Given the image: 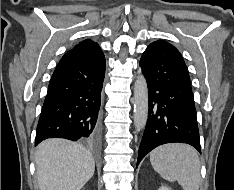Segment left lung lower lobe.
Masks as SVG:
<instances>
[{
	"label": "left lung lower lobe",
	"mask_w": 234,
	"mask_h": 190,
	"mask_svg": "<svg viewBox=\"0 0 234 190\" xmlns=\"http://www.w3.org/2000/svg\"><path fill=\"white\" fill-rule=\"evenodd\" d=\"M183 58L170 43L148 45L140 66L148 85L149 111L137 165L155 147L187 143L201 153L193 92L183 78Z\"/></svg>",
	"instance_id": "1"
}]
</instances>
